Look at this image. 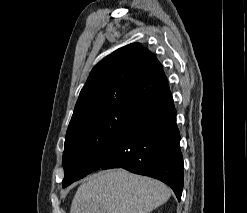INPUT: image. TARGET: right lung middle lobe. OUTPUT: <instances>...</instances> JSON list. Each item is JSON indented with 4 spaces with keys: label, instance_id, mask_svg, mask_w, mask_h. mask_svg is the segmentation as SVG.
Instances as JSON below:
<instances>
[{
    "label": "right lung middle lobe",
    "instance_id": "1",
    "mask_svg": "<svg viewBox=\"0 0 247 213\" xmlns=\"http://www.w3.org/2000/svg\"><path fill=\"white\" fill-rule=\"evenodd\" d=\"M131 100L118 103L67 130L63 187L89 174L100 151L116 137L130 113Z\"/></svg>",
    "mask_w": 247,
    "mask_h": 213
}]
</instances>
